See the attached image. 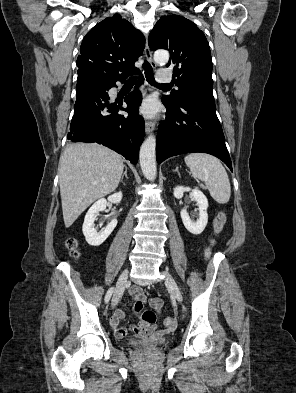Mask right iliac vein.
<instances>
[{
	"label": "right iliac vein",
	"mask_w": 296,
	"mask_h": 393,
	"mask_svg": "<svg viewBox=\"0 0 296 393\" xmlns=\"http://www.w3.org/2000/svg\"><path fill=\"white\" fill-rule=\"evenodd\" d=\"M127 278H128V270H125L120 275V277H119V279L117 281L115 293L113 295L112 302H111L112 307L116 306L120 296L122 295V293H123V291L125 289L126 283H127Z\"/></svg>",
	"instance_id": "1"
}]
</instances>
